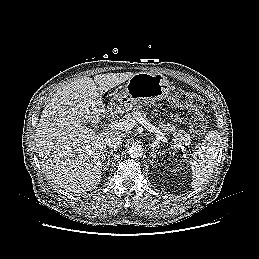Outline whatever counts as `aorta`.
Instances as JSON below:
<instances>
[{
    "label": "aorta",
    "mask_w": 259,
    "mask_h": 259,
    "mask_svg": "<svg viewBox=\"0 0 259 259\" xmlns=\"http://www.w3.org/2000/svg\"><path fill=\"white\" fill-rule=\"evenodd\" d=\"M128 154L130 155L131 158H139L143 154V149L140 145L133 144L129 149H128Z\"/></svg>",
    "instance_id": "1"
}]
</instances>
